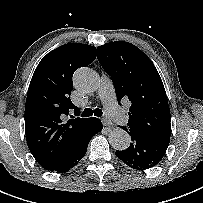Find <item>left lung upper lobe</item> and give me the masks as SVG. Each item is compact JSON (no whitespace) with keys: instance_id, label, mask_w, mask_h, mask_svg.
<instances>
[{"instance_id":"5c2ea615","label":"left lung upper lobe","mask_w":203,"mask_h":203,"mask_svg":"<svg viewBox=\"0 0 203 203\" xmlns=\"http://www.w3.org/2000/svg\"><path fill=\"white\" fill-rule=\"evenodd\" d=\"M97 58L112 78L118 103L121 105L122 99L131 101L128 129L169 143L168 99L161 77L148 56L131 43L115 41L99 46Z\"/></svg>"}]
</instances>
